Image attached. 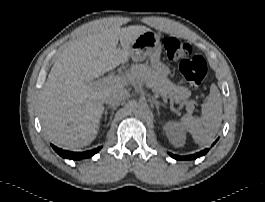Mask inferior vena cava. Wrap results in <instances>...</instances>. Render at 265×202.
<instances>
[{
	"label": "inferior vena cava",
	"mask_w": 265,
	"mask_h": 202,
	"mask_svg": "<svg viewBox=\"0 0 265 202\" xmlns=\"http://www.w3.org/2000/svg\"><path fill=\"white\" fill-rule=\"evenodd\" d=\"M128 96L126 89H112L107 93L104 102L110 106H119Z\"/></svg>",
	"instance_id": "obj_1"
}]
</instances>
